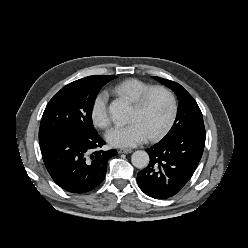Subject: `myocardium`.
<instances>
[{"mask_svg": "<svg viewBox=\"0 0 248 248\" xmlns=\"http://www.w3.org/2000/svg\"><path fill=\"white\" fill-rule=\"evenodd\" d=\"M155 92H162L168 97L169 111H168L167 117L165 118L164 122L160 125V127L155 132H153L149 136L150 140H155L165 133V131L169 128V126L171 125L175 117L176 108H177L176 98L173 92L169 88L165 86H161V85L152 86L151 88H149L135 102H133V106L139 110L144 108L148 99Z\"/></svg>", "mask_w": 248, "mask_h": 248, "instance_id": "obj_1", "label": "myocardium"}]
</instances>
